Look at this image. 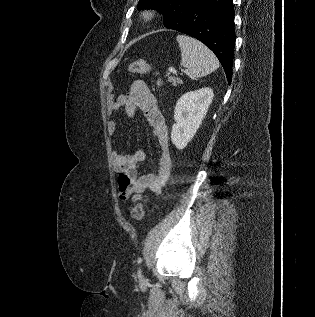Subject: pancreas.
<instances>
[{"instance_id":"obj_1","label":"pancreas","mask_w":315,"mask_h":317,"mask_svg":"<svg viewBox=\"0 0 315 317\" xmlns=\"http://www.w3.org/2000/svg\"><path fill=\"white\" fill-rule=\"evenodd\" d=\"M167 77H168V82L173 83L174 85H177L180 83V80L178 78L169 77V75H167Z\"/></svg>"}]
</instances>
